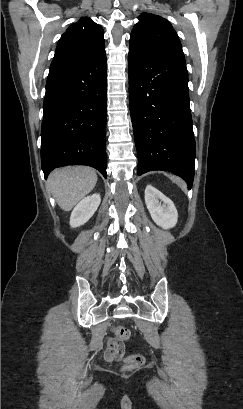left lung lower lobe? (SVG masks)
<instances>
[{
	"label": "left lung lower lobe",
	"mask_w": 243,
	"mask_h": 409,
	"mask_svg": "<svg viewBox=\"0 0 243 409\" xmlns=\"http://www.w3.org/2000/svg\"><path fill=\"white\" fill-rule=\"evenodd\" d=\"M128 72L138 175L170 171L191 188L195 140L183 52L166 51L149 57L129 53Z\"/></svg>",
	"instance_id": "0a47b994"
}]
</instances>
